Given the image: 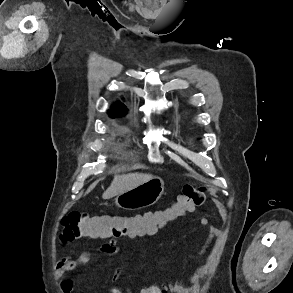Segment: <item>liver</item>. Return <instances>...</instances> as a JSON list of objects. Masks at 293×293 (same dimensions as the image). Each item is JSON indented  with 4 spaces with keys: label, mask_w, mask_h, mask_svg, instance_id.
Returning a JSON list of instances; mask_svg holds the SVG:
<instances>
[{
    "label": "liver",
    "mask_w": 293,
    "mask_h": 293,
    "mask_svg": "<svg viewBox=\"0 0 293 293\" xmlns=\"http://www.w3.org/2000/svg\"><path fill=\"white\" fill-rule=\"evenodd\" d=\"M152 178L150 174L144 173H129L123 175H116L108 187V189L103 193V199H110L118 194H121L125 191H128L132 188L137 187L138 185L148 181ZM97 182H94L88 188L86 194H88L95 186Z\"/></svg>",
    "instance_id": "1"
}]
</instances>
